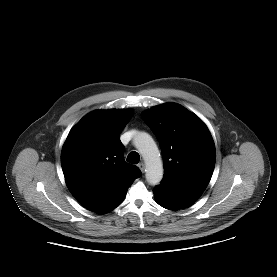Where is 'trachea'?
Masks as SVG:
<instances>
[{"instance_id":"obj_1","label":"trachea","mask_w":277,"mask_h":277,"mask_svg":"<svg viewBox=\"0 0 277 277\" xmlns=\"http://www.w3.org/2000/svg\"><path fill=\"white\" fill-rule=\"evenodd\" d=\"M127 161L131 164H137L140 161V156L137 152L133 151L127 156Z\"/></svg>"}]
</instances>
